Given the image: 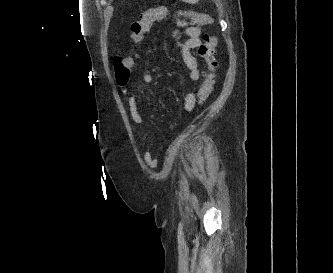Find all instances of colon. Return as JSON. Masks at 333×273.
<instances>
[{
  "instance_id": "colon-1",
  "label": "colon",
  "mask_w": 333,
  "mask_h": 273,
  "mask_svg": "<svg viewBox=\"0 0 333 273\" xmlns=\"http://www.w3.org/2000/svg\"><path fill=\"white\" fill-rule=\"evenodd\" d=\"M171 11L159 6L145 11L138 20L131 26V38L135 45L142 42L145 35L150 31L153 24L171 16ZM177 16L189 19L198 25H207L212 23L213 19L209 14L195 13L191 11H178ZM217 37L204 34L203 41L198 47V54L206 62V71L203 81L197 90V103H204L212 94L215 86V72L218 67V61L215 56ZM135 62V54L129 53L123 56H117L114 60V69L117 83L125 88L131 78L132 68Z\"/></svg>"
}]
</instances>
